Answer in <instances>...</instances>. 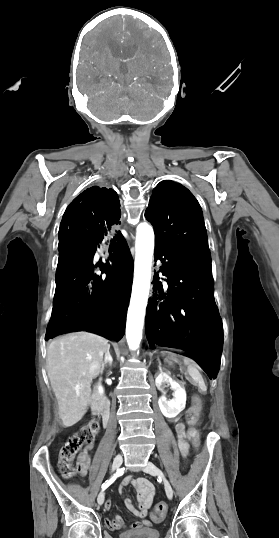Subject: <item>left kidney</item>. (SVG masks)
Wrapping results in <instances>:
<instances>
[{
    "instance_id": "left-kidney-1",
    "label": "left kidney",
    "mask_w": 279,
    "mask_h": 538,
    "mask_svg": "<svg viewBox=\"0 0 279 538\" xmlns=\"http://www.w3.org/2000/svg\"><path fill=\"white\" fill-rule=\"evenodd\" d=\"M155 384L158 390H163V384H170L171 390L174 392L173 400H167L166 392H163V396L159 398L158 404L165 418H176V416H178V414L185 408L186 392L184 386H180V384L174 382L169 374H165V372H160V374H158Z\"/></svg>"
}]
</instances>
